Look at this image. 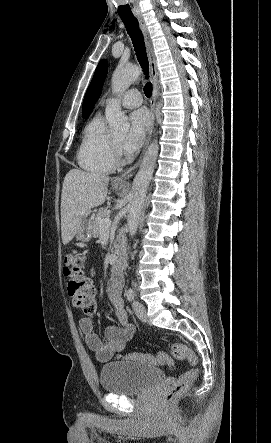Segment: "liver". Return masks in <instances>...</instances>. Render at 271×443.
Returning a JSON list of instances; mask_svg holds the SVG:
<instances>
[{
    "mask_svg": "<svg viewBox=\"0 0 271 443\" xmlns=\"http://www.w3.org/2000/svg\"><path fill=\"white\" fill-rule=\"evenodd\" d=\"M109 176L70 170L61 194V235L66 245L76 235L80 222L92 208L102 206L108 194Z\"/></svg>",
    "mask_w": 271,
    "mask_h": 443,
    "instance_id": "6515ba94",
    "label": "liver"
}]
</instances>
